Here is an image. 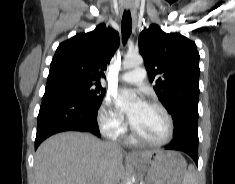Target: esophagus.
<instances>
[{"label":"esophagus","instance_id":"esophagus-1","mask_svg":"<svg viewBox=\"0 0 235 184\" xmlns=\"http://www.w3.org/2000/svg\"><path fill=\"white\" fill-rule=\"evenodd\" d=\"M126 8H129L131 11L132 21H133V31L135 32L137 28V14L133 8V0H126ZM134 154L129 153L128 156H133Z\"/></svg>","mask_w":235,"mask_h":184}]
</instances>
